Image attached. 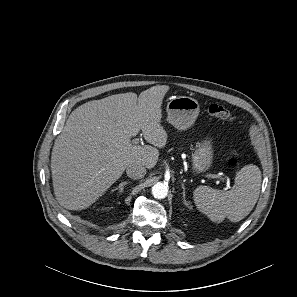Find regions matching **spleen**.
Returning <instances> with one entry per match:
<instances>
[{
    "label": "spleen",
    "instance_id": "3e777b00",
    "mask_svg": "<svg viewBox=\"0 0 297 297\" xmlns=\"http://www.w3.org/2000/svg\"><path fill=\"white\" fill-rule=\"evenodd\" d=\"M261 171L256 165L249 164L241 168L235 176V185L229 191L199 186L194 191V203L197 209L213 222L228 218L239 222L254 208L261 188Z\"/></svg>",
    "mask_w": 297,
    "mask_h": 297
}]
</instances>
